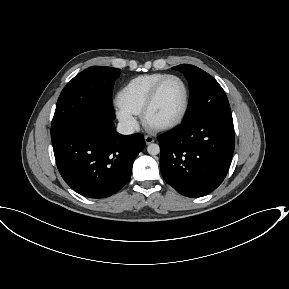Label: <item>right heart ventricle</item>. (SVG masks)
Wrapping results in <instances>:
<instances>
[{
    "label": "right heart ventricle",
    "mask_w": 289,
    "mask_h": 289,
    "mask_svg": "<svg viewBox=\"0 0 289 289\" xmlns=\"http://www.w3.org/2000/svg\"><path fill=\"white\" fill-rule=\"evenodd\" d=\"M168 74L150 73L131 79L118 92L117 102L134 115L141 114L144 103L154 85Z\"/></svg>",
    "instance_id": "obj_1"
}]
</instances>
